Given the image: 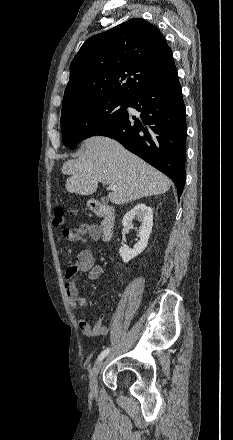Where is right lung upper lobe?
<instances>
[{
  "label": "right lung upper lobe",
  "mask_w": 233,
  "mask_h": 440,
  "mask_svg": "<svg viewBox=\"0 0 233 440\" xmlns=\"http://www.w3.org/2000/svg\"><path fill=\"white\" fill-rule=\"evenodd\" d=\"M175 64L161 32L134 18L87 39L70 65L62 108L93 98L129 99Z\"/></svg>",
  "instance_id": "obj_1"
}]
</instances>
